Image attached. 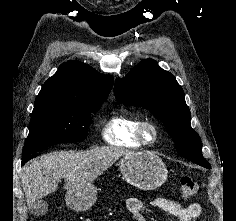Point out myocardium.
Listing matches in <instances>:
<instances>
[{
	"label": "myocardium",
	"instance_id": "f54148a6",
	"mask_svg": "<svg viewBox=\"0 0 236 221\" xmlns=\"http://www.w3.org/2000/svg\"><path fill=\"white\" fill-rule=\"evenodd\" d=\"M148 128L151 129L153 132V136L151 138H148L146 135V130ZM136 136L142 145L146 146L154 145L160 137L159 126L152 120H142L138 124Z\"/></svg>",
	"mask_w": 236,
	"mask_h": 221
}]
</instances>
